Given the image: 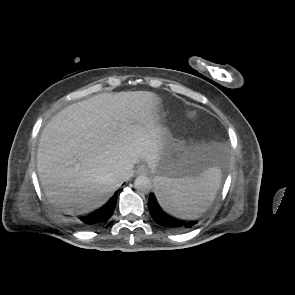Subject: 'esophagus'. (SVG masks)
Returning <instances> with one entry per match:
<instances>
[{
    "label": "esophagus",
    "mask_w": 295,
    "mask_h": 295,
    "mask_svg": "<svg viewBox=\"0 0 295 295\" xmlns=\"http://www.w3.org/2000/svg\"><path fill=\"white\" fill-rule=\"evenodd\" d=\"M136 172L139 175H146L148 173V168L145 165H140Z\"/></svg>",
    "instance_id": "obj_1"
}]
</instances>
